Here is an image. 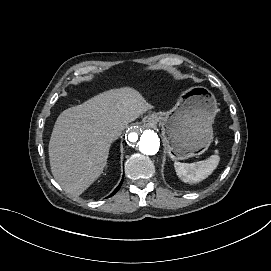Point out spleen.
Instances as JSON below:
<instances>
[{
  "mask_svg": "<svg viewBox=\"0 0 271 271\" xmlns=\"http://www.w3.org/2000/svg\"><path fill=\"white\" fill-rule=\"evenodd\" d=\"M218 161V155L213 154L205 160L190 164L175 161L174 166L181 178L188 179V181H198L209 175L215 169Z\"/></svg>",
  "mask_w": 271,
  "mask_h": 271,
  "instance_id": "3e777b00",
  "label": "spleen"
}]
</instances>
